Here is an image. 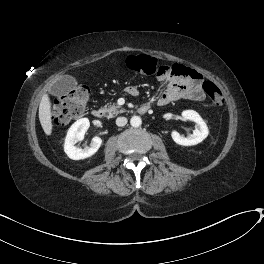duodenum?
Listing matches in <instances>:
<instances>
[{
  "label": "duodenum",
  "mask_w": 264,
  "mask_h": 264,
  "mask_svg": "<svg viewBox=\"0 0 264 264\" xmlns=\"http://www.w3.org/2000/svg\"><path fill=\"white\" fill-rule=\"evenodd\" d=\"M135 95L138 94V92H134ZM149 110V107L147 105H142L140 106L137 111L139 114H144ZM92 115L96 118V119H102L105 115V111L102 107H95L92 110Z\"/></svg>",
  "instance_id": "duodenum-1"
}]
</instances>
